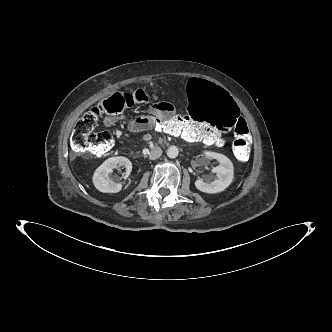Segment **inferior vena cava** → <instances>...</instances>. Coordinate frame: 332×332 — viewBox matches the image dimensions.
Wrapping results in <instances>:
<instances>
[{"label":"inferior vena cava","instance_id":"1","mask_svg":"<svg viewBox=\"0 0 332 332\" xmlns=\"http://www.w3.org/2000/svg\"><path fill=\"white\" fill-rule=\"evenodd\" d=\"M162 155V149L161 148H157L155 150H153L150 155H149V159L150 160H155L157 158H159Z\"/></svg>","mask_w":332,"mask_h":332}]
</instances>
